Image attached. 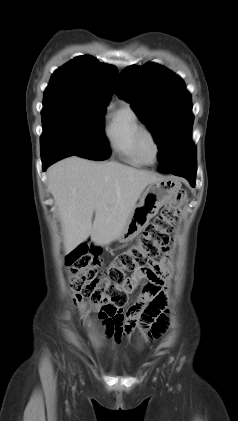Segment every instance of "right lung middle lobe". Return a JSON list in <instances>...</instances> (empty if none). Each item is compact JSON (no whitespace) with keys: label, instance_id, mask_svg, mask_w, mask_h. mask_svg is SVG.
Segmentation results:
<instances>
[{"label":"right lung middle lobe","instance_id":"obj_1","mask_svg":"<svg viewBox=\"0 0 238 421\" xmlns=\"http://www.w3.org/2000/svg\"><path fill=\"white\" fill-rule=\"evenodd\" d=\"M108 102L79 95L44 93L41 155L67 151L93 160L110 156L103 132V116Z\"/></svg>","mask_w":238,"mask_h":421}]
</instances>
